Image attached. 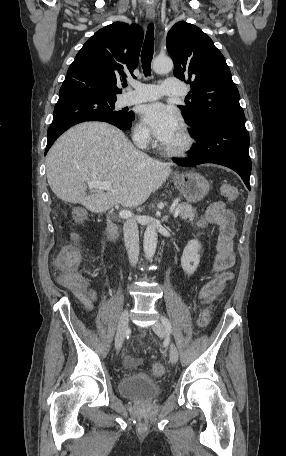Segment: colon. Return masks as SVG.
I'll list each match as a JSON object with an SVG mask.
<instances>
[{
    "label": "colon",
    "mask_w": 286,
    "mask_h": 456,
    "mask_svg": "<svg viewBox=\"0 0 286 456\" xmlns=\"http://www.w3.org/2000/svg\"><path fill=\"white\" fill-rule=\"evenodd\" d=\"M222 194L227 198H235L237 196V189L233 185H222ZM82 219V215L79 216ZM81 261V254L79 249L74 244H69L59 251L55 259V266L59 270L58 282L73 291H81L87 287V279L78 272L77 268ZM210 321V310L204 309L198 319L197 324L200 328H204ZM125 366L134 368L136 360L130 357L125 358ZM152 373L155 377H161L165 373V368L161 363H154L152 366Z\"/></svg>",
    "instance_id": "colon-1"
}]
</instances>
